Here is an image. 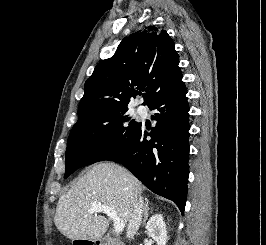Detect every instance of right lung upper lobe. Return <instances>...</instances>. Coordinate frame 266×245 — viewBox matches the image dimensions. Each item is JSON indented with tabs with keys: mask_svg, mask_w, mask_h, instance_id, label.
Listing matches in <instances>:
<instances>
[{
	"mask_svg": "<svg viewBox=\"0 0 266 245\" xmlns=\"http://www.w3.org/2000/svg\"><path fill=\"white\" fill-rule=\"evenodd\" d=\"M178 64L174 41L165 30L148 27L132 33L111 58L97 64L85 82L79 120L92 113L127 108L137 90L146 89L143 105H148L181 81Z\"/></svg>",
	"mask_w": 266,
	"mask_h": 245,
	"instance_id": "obj_1",
	"label": "right lung upper lobe"
}]
</instances>
